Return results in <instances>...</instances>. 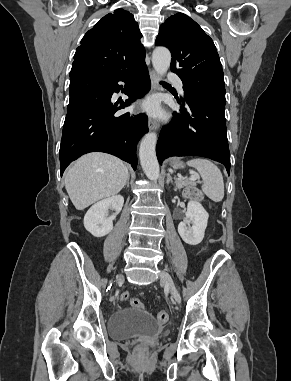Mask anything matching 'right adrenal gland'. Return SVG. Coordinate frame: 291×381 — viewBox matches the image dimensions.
<instances>
[{
	"label": "right adrenal gland",
	"instance_id": "obj_1",
	"mask_svg": "<svg viewBox=\"0 0 291 381\" xmlns=\"http://www.w3.org/2000/svg\"><path fill=\"white\" fill-rule=\"evenodd\" d=\"M129 179H130V176H128V179H127V182H126L127 187H129Z\"/></svg>",
	"mask_w": 291,
	"mask_h": 381
}]
</instances>
